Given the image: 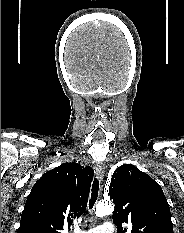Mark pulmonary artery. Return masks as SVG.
<instances>
[{"label": "pulmonary artery", "mask_w": 184, "mask_h": 233, "mask_svg": "<svg viewBox=\"0 0 184 233\" xmlns=\"http://www.w3.org/2000/svg\"><path fill=\"white\" fill-rule=\"evenodd\" d=\"M76 233H115V226L112 222L106 221L103 224L89 230H79Z\"/></svg>", "instance_id": "obj_1"}]
</instances>
